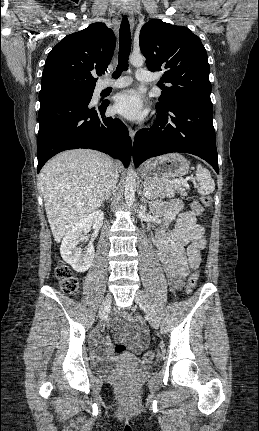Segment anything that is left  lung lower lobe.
Masks as SVG:
<instances>
[{
	"mask_svg": "<svg viewBox=\"0 0 259 431\" xmlns=\"http://www.w3.org/2000/svg\"><path fill=\"white\" fill-rule=\"evenodd\" d=\"M156 111L153 126L135 135V166L154 156L181 152L199 156L218 173L212 104L196 99H177L157 104Z\"/></svg>",
	"mask_w": 259,
	"mask_h": 431,
	"instance_id": "0a47b994",
	"label": "left lung lower lobe"
}]
</instances>
